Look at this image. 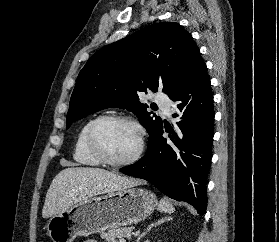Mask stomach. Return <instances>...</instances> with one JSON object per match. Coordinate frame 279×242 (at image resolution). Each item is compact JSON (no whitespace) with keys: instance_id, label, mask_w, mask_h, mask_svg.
<instances>
[{"instance_id":"1","label":"stomach","mask_w":279,"mask_h":242,"mask_svg":"<svg viewBox=\"0 0 279 242\" xmlns=\"http://www.w3.org/2000/svg\"><path fill=\"white\" fill-rule=\"evenodd\" d=\"M158 204L154 193L129 187L81 200L52 216L46 225L53 242H73L76 237L137 224Z\"/></svg>"}]
</instances>
